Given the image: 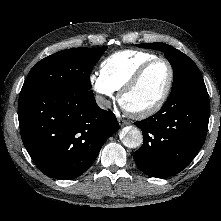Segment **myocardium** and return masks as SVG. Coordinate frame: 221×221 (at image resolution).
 Returning a JSON list of instances; mask_svg holds the SVG:
<instances>
[{
    "instance_id": "myocardium-1",
    "label": "myocardium",
    "mask_w": 221,
    "mask_h": 221,
    "mask_svg": "<svg viewBox=\"0 0 221 221\" xmlns=\"http://www.w3.org/2000/svg\"><path fill=\"white\" fill-rule=\"evenodd\" d=\"M158 62L165 63L169 69L168 83H167V86H166L163 94L161 95V97L153 105H151L147 108H144V109L128 110V109L124 108V106L122 105L123 97L138 84V82L141 80V78L146 73V71L152 65H154L155 63H158ZM174 78H175L174 68L168 59L163 58V57H155L153 59H150V60L146 61L145 63H143L133 73V75L128 79V81L121 87V89L119 90V93H118V102L126 112H128L130 115H132L136 118H145V117L151 116V115L155 114L156 112H158L166 103L167 99L170 96L172 88H173Z\"/></svg>"
}]
</instances>
